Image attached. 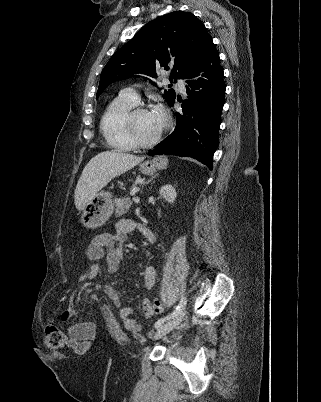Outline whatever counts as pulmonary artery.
<instances>
[{
	"mask_svg": "<svg viewBox=\"0 0 321 402\" xmlns=\"http://www.w3.org/2000/svg\"><path fill=\"white\" fill-rule=\"evenodd\" d=\"M177 82H178L180 92L184 93L185 92V82H184V80L181 79V78H178ZM119 97L124 99V100H126V101H128V102H130V103H132V104H134V105L137 104L138 101H139V96L136 93L135 89H133V88L124 89L121 92Z\"/></svg>",
	"mask_w": 321,
	"mask_h": 402,
	"instance_id": "e3ab8cb5",
	"label": "pulmonary artery"
}]
</instances>
